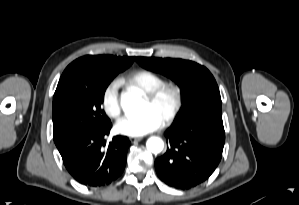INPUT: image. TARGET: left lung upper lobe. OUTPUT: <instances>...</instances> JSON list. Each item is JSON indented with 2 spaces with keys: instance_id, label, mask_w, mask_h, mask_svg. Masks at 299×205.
I'll return each mask as SVG.
<instances>
[{
  "instance_id": "left-lung-upper-lobe-1",
  "label": "left lung upper lobe",
  "mask_w": 299,
  "mask_h": 205,
  "mask_svg": "<svg viewBox=\"0 0 299 205\" xmlns=\"http://www.w3.org/2000/svg\"><path fill=\"white\" fill-rule=\"evenodd\" d=\"M145 69L161 73L175 81L182 90L183 104L174 122L200 120L222 113L221 97L213 75L195 62L154 57H137Z\"/></svg>"
}]
</instances>
